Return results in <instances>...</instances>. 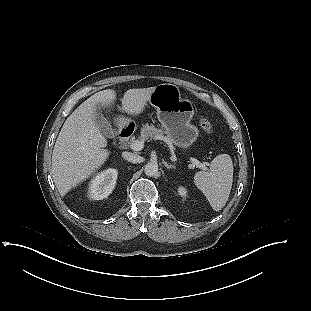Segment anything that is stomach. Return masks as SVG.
<instances>
[{"label": "stomach", "instance_id": "obj_1", "mask_svg": "<svg viewBox=\"0 0 311 311\" xmlns=\"http://www.w3.org/2000/svg\"><path fill=\"white\" fill-rule=\"evenodd\" d=\"M149 104L156 109L158 121L166 137L182 150H187L199 135V130L190 123L193 103L182 98L173 86L160 85L152 93Z\"/></svg>", "mask_w": 311, "mask_h": 311}]
</instances>
